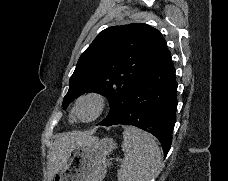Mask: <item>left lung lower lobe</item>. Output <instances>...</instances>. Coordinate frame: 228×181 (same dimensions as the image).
Masks as SVG:
<instances>
[{"mask_svg":"<svg viewBox=\"0 0 228 181\" xmlns=\"http://www.w3.org/2000/svg\"><path fill=\"white\" fill-rule=\"evenodd\" d=\"M176 109L175 68L166 49L140 76L124 116L112 125H132L153 134L160 141L166 157L172 144Z\"/></svg>","mask_w":228,"mask_h":181,"instance_id":"obj_1","label":"left lung lower lobe"}]
</instances>
